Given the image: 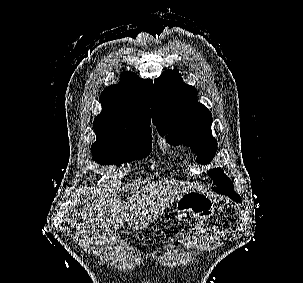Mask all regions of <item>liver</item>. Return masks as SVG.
Instances as JSON below:
<instances>
[{
	"label": "liver",
	"mask_w": 303,
	"mask_h": 283,
	"mask_svg": "<svg viewBox=\"0 0 303 283\" xmlns=\"http://www.w3.org/2000/svg\"><path fill=\"white\" fill-rule=\"evenodd\" d=\"M186 188L176 183L152 182L133 194L127 203L120 198L109 195L106 190L96 189L90 197V202L83 207L81 213L85 233L92 236L112 233L119 228L122 221L135 228H144L164 213L175 199L184 194Z\"/></svg>",
	"instance_id": "1"
}]
</instances>
